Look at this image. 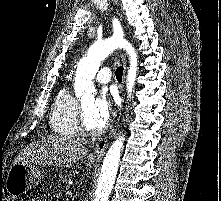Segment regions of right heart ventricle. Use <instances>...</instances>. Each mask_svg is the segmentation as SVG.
Segmentation results:
<instances>
[{"label":"right heart ventricle","instance_id":"e07e8e85","mask_svg":"<svg viewBox=\"0 0 221 201\" xmlns=\"http://www.w3.org/2000/svg\"><path fill=\"white\" fill-rule=\"evenodd\" d=\"M78 105L68 88L64 87L57 93L50 112V125L56 134L67 138L78 135Z\"/></svg>","mask_w":221,"mask_h":201}]
</instances>
